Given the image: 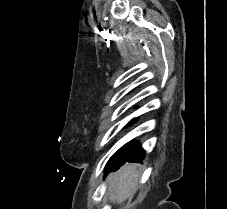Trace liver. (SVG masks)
Wrapping results in <instances>:
<instances>
[{"label":"liver","instance_id":"obj_1","mask_svg":"<svg viewBox=\"0 0 227 209\" xmlns=\"http://www.w3.org/2000/svg\"><path fill=\"white\" fill-rule=\"evenodd\" d=\"M140 173L136 165H124L119 173H114L110 177L109 201L111 203H124L129 199L131 193L136 191L139 183Z\"/></svg>","mask_w":227,"mask_h":209}]
</instances>
